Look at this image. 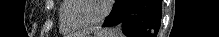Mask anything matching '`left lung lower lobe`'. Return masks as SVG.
<instances>
[{"label": "left lung lower lobe", "mask_w": 219, "mask_h": 37, "mask_svg": "<svg viewBox=\"0 0 219 37\" xmlns=\"http://www.w3.org/2000/svg\"><path fill=\"white\" fill-rule=\"evenodd\" d=\"M162 0H115L103 26L119 25L128 37H156Z\"/></svg>", "instance_id": "1"}]
</instances>
